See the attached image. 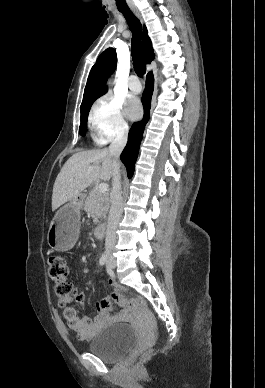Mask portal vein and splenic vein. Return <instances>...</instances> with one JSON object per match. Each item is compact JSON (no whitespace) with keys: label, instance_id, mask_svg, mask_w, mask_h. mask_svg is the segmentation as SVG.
<instances>
[{"label":"portal vein and splenic vein","instance_id":"obj_1","mask_svg":"<svg viewBox=\"0 0 265 388\" xmlns=\"http://www.w3.org/2000/svg\"><path fill=\"white\" fill-rule=\"evenodd\" d=\"M89 170H94L93 166H90ZM108 190V184H99V192L101 194H106Z\"/></svg>","mask_w":265,"mask_h":388}]
</instances>
